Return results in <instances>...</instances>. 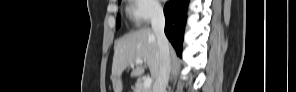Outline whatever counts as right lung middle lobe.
<instances>
[{"instance_id":"obj_1","label":"right lung middle lobe","mask_w":296,"mask_h":92,"mask_svg":"<svg viewBox=\"0 0 296 92\" xmlns=\"http://www.w3.org/2000/svg\"><path fill=\"white\" fill-rule=\"evenodd\" d=\"M120 2V1H119ZM120 26V19L117 18V22H116V29Z\"/></svg>"}]
</instances>
